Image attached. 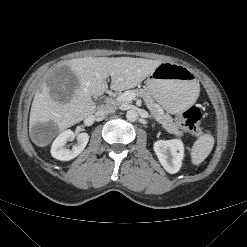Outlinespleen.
Instances as JSON below:
<instances>
[{"label":"spleen","instance_id":"spleen-1","mask_svg":"<svg viewBox=\"0 0 247 247\" xmlns=\"http://www.w3.org/2000/svg\"><path fill=\"white\" fill-rule=\"evenodd\" d=\"M214 141V137L210 134H204L195 141L191 150V161L194 165L202 163L208 157Z\"/></svg>","mask_w":247,"mask_h":247}]
</instances>
